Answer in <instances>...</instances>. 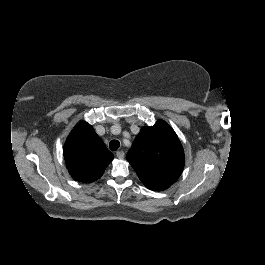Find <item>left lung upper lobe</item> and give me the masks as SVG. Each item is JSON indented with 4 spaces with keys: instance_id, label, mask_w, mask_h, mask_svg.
Here are the masks:
<instances>
[{
    "instance_id": "obj_1",
    "label": "left lung upper lobe",
    "mask_w": 265,
    "mask_h": 265,
    "mask_svg": "<svg viewBox=\"0 0 265 265\" xmlns=\"http://www.w3.org/2000/svg\"><path fill=\"white\" fill-rule=\"evenodd\" d=\"M126 159L143 184L154 191H163L176 182L185 163L181 142L163 120L141 129Z\"/></svg>"
}]
</instances>
